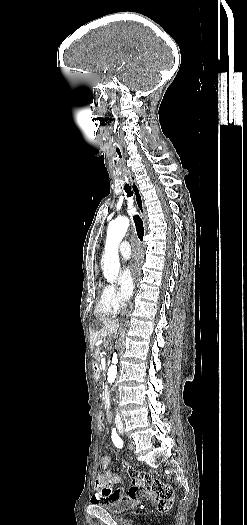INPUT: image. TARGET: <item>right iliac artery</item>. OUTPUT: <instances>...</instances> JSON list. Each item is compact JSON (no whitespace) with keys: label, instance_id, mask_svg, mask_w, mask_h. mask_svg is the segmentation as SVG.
Wrapping results in <instances>:
<instances>
[{"label":"right iliac artery","instance_id":"82829eb1","mask_svg":"<svg viewBox=\"0 0 247 525\" xmlns=\"http://www.w3.org/2000/svg\"><path fill=\"white\" fill-rule=\"evenodd\" d=\"M111 438H112V441H113V443L115 444L116 447H118V448H122L123 447V441L118 436L115 428L112 429V436H111Z\"/></svg>","mask_w":247,"mask_h":525}]
</instances>
